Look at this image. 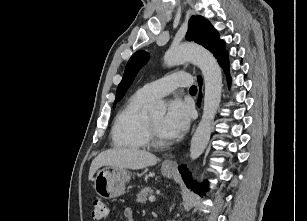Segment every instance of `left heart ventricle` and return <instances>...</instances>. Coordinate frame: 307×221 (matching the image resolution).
Segmentation results:
<instances>
[{
    "label": "left heart ventricle",
    "mask_w": 307,
    "mask_h": 221,
    "mask_svg": "<svg viewBox=\"0 0 307 221\" xmlns=\"http://www.w3.org/2000/svg\"><path fill=\"white\" fill-rule=\"evenodd\" d=\"M164 117H165L164 113H159V114L151 115L153 123H154V125H155V127H156V129H157V131H158V133L160 135V137L162 139H167V137L165 136V134L163 132V127H162L163 121H164Z\"/></svg>",
    "instance_id": "1"
}]
</instances>
